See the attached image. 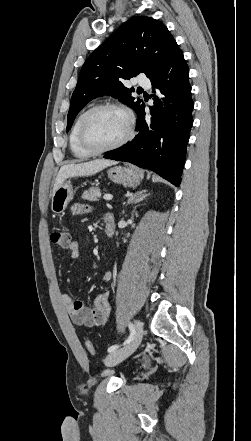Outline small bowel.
Masks as SVG:
<instances>
[{
  "instance_id": "small-bowel-1",
  "label": "small bowel",
  "mask_w": 251,
  "mask_h": 441,
  "mask_svg": "<svg viewBox=\"0 0 251 441\" xmlns=\"http://www.w3.org/2000/svg\"><path fill=\"white\" fill-rule=\"evenodd\" d=\"M76 211L78 213H84L88 211L85 206H79ZM107 217H112L107 215ZM70 253V257L74 260L80 257V247L77 241H72L67 247ZM102 281L109 283L112 281V273L105 271L101 277ZM109 293L104 291L96 296L93 305L91 307L85 306L82 300L73 299L70 295L63 293L60 296L61 303L68 312L72 322L78 326L84 327H98L104 326L109 318L110 305L108 302Z\"/></svg>"
}]
</instances>
